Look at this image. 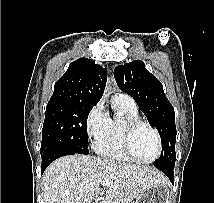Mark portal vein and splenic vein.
Masks as SVG:
<instances>
[{"instance_id": "1", "label": "portal vein and splenic vein", "mask_w": 214, "mask_h": 203, "mask_svg": "<svg viewBox=\"0 0 214 203\" xmlns=\"http://www.w3.org/2000/svg\"><path fill=\"white\" fill-rule=\"evenodd\" d=\"M113 182L112 181H109V180H106V181H102L100 183L101 186H109L110 184H112Z\"/></svg>"}]
</instances>
